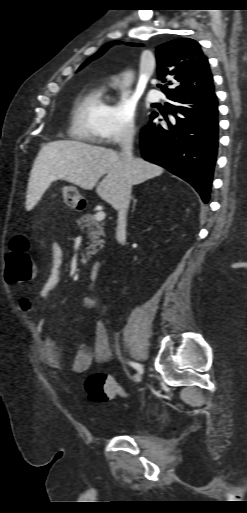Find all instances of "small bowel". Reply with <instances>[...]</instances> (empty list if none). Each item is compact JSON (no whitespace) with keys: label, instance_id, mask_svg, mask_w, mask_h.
Wrapping results in <instances>:
<instances>
[{"label":"small bowel","instance_id":"obj_1","mask_svg":"<svg viewBox=\"0 0 247 513\" xmlns=\"http://www.w3.org/2000/svg\"><path fill=\"white\" fill-rule=\"evenodd\" d=\"M51 268L47 278L39 290L40 296H49L57 289L62 280L63 266V248L60 243L53 242L51 245ZM20 304L28 311L31 310V301L28 298H21ZM95 306V298L92 296L84 297L82 308L90 310ZM48 320L41 318L36 324V329L41 335V342L38 351L39 360L45 366L51 369H60L61 353L52 339L47 334ZM112 358V350L109 345V336L107 326L103 321H99L95 328V335L92 342L82 343L71 362V370L76 373L86 372L91 365L96 363H106Z\"/></svg>","mask_w":247,"mask_h":513}]
</instances>
